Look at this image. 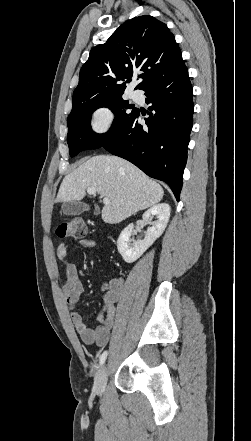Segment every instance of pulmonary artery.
Wrapping results in <instances>:
<instances>
[{
	"label": "pulmonary artery",
	"instance_id": "e3ab8cb5",
	"mask_svg": "<svg viewBox=\"0 0 251 441\" xmlns=\"http://www.w3.org/2000/svg\"><path fill=\"white\" fill-rule=\"evenodd\" d=\"M131 96L134 100H138L140 97L139 93L136 91L132 92Z\"/></svg>",
	"mask_w": 251,
	"mask_h": 441
}]
</instances>
